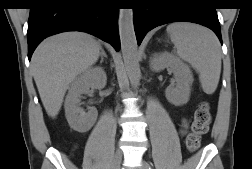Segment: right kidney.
Here are the masks:
<instances>
[{
	"instance_id": "ca27d5eb",
	"label": "right kidney",
	"mask_w": 252,
	"mask_h": 169,
	"mask_svg": "<svg viewBox=\"0 0 252 169\" xmlns=\"http://www.w3.org/2000/svg\"><path fill=\"white\" fill-rule=\"evenodd\" d=\"M105 81L106 74L104 70L102 68H95L85 73L72 84L66 98L65 108L68 121L75 130L86 132L96 122L97 112L95 110L90 113L83 112L81 99L88 93L91 87L104 84Z\"/></svg>"
}]
</instances>
